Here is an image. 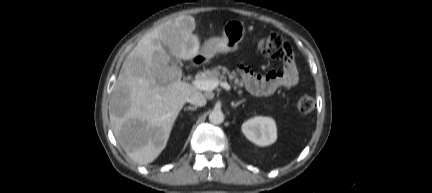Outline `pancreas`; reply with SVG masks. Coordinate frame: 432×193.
<instances>
[{
    "label": "pancreas",
    "instance_id": "obj_1",
    "mask_svg": "<svg viewBox=\"0 0 432 193\" xmlns=\"http://www.w3.org/2000/svg\"><path fill=\"white\" fill-rule=\"evenodd\" d=\"M226 75L230 80L234 81L235 88H239L243 86V82L238 78L236 72H230L225 66H217L212 68L211 70H205L197 75V79L199 80H225Z\"/></svg>",
    "mask_w": 432,
    "mask_h": 193
}]
</instances>
